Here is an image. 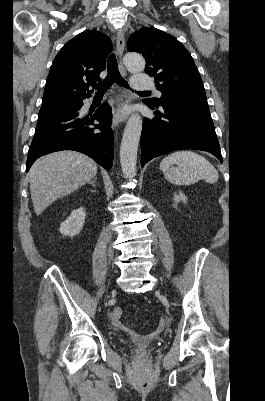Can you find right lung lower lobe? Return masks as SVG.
Instances as JSON below:
<instances>
[{"instance_id":"right-lung-lower-lobe-1","label":"right lung lower lobe","mask_w":265,"mask_h":401,"mask_svg":"<svg viewBox=\"0 0 265 401\" xmlns=\"http://www.w3.org/2000/svg\"><path fill=\"white\" fill-rule=\"evenodd\" d=\"M111 124L112 112L106 103L99 106L93 115L85 117H81L78 111L54 112L39 116L29 147L26 171L39 157L60 150L82 152L110 170L113 163Z\"/></svg>"}]
</instances>
